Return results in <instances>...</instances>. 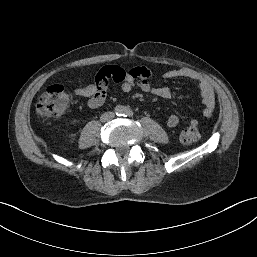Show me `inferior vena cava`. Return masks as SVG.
<instances>
[{"label":"inferior vena cava","mask_w":257,"mask_h":257,"mask_svg":"<svg viewBox=\"0 0 257 257\" xmlns=\"http://www.w3.org/2000/svg\"><path fill=\"white\" fill-rule=\"evenodd\" d=\"M113 118H114V113L113 112H105L101 115L100 120L102 122H107V121H109Z\"/></svg>","instance_id":"inferior-vena-cava-1"}]
</instances>
